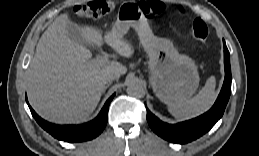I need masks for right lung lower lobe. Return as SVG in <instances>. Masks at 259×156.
I'll use <instances>...</instances> for the list:
<instances>
[{"instance_id": "1", "label": "right lung lower lobe", "mask_w": 259, "mask_h": 156, "mask_svg": "<svg viewBox=\"0 0 259 156\" xmlns=\"http://www.w3.org/2000/svg\"><path fill=\"white\" fill-rule=\"evenodd\" d=\"M114 96L115 94L106 101L99 115L94 120L81 125L52 124L40 118L30 106L29 108L37 123L52 136L66 142H80L91 140L104 130L108 120L109 104Z\"/></svg>"}]
</instances>
